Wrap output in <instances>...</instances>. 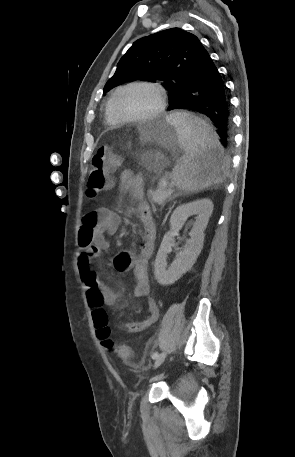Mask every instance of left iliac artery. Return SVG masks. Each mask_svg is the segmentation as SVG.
I'll list each match as a JSON object with an SVG mask.
<instances>
[{
    "mask_svg": "<svg viewBox=\"0 0 295 457\" xmlns=\"http://www.w3.org/2000/svg\"><path fill=\"white\" fill-rule=\"evenodd\" d=\"M158 355H159L158 352H154V353L151 355V357H152V359H156V358L158 357Z\"/></svg>",
    "mask_w": 295,
    "mask_h": 457,
    "instance_id": "obj_1",
    "label": "left iliac artery"
}]
</instances>
